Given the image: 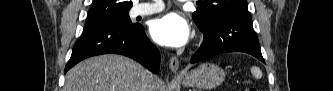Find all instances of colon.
Returning <instances> with one entry per match:
<instances>
[{
    "mask_svg": "<svg viewBox=\"0 0 333 91\" xmlns=\"http://www.w3.org/2000/svg\"><path fill=\"white\" fill-rule=\"evenodd\" d=\"M247 91H256V89L252 87V88H248Z\"/></svg>",
    "mask_w": 333,
    "mask_h": 91,
    "instance_id": "5ec220e1",
    "label": "colon"
}]
</instances>
